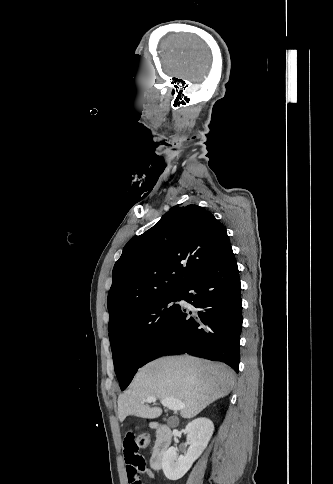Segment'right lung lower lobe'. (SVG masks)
I'll return each instance as SVG.
<instances>
[{
	"mask_svg": "<svg viewBox=\"0 0 333 484\" xmlns=\"http://www.w3.org/2000/svg\"><path fill=\"white\" fill-rule=\"evenodd\" d=\"M241 284L237 263L228 246L180 291L179 305L148 347L139 367L165 355L188 353L223 361L238 372L242 329Z\"/></svg>",
	"mask_w": 333,
	"mask_h": 484,
	"instance_id": "98d812e1",
	"label": "right lung lower lobe"
}]
</instances>
